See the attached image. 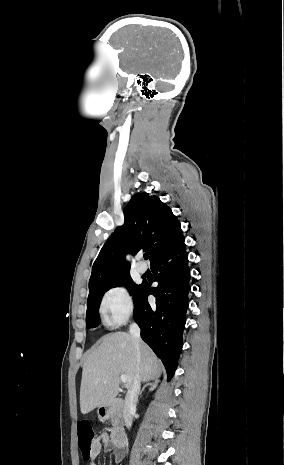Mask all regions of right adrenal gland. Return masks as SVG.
Instances as JSON below:
<instances>
[{"label":"right adrenal gland","mask_w":284,"mask_h":465,"mask_svg":"<svg viewBox=\"0 0 284 465\" xmlns=\"http://www.w3.org/2000/svg\"><path fill=\"white\" fill-rule=\"evenodd\" d=\"M159 383H160V381H158V379H153V383H147V385H144L140 395H142L143 391H145V389H147V387H149V391H155V389H157Z\"/></svg>","instance_id":"2a0ac1e0"}]
</instances>
